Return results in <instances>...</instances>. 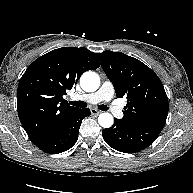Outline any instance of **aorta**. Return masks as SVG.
I'll return each instance as SVG.
<instances>
[{"label": "aorta", "instance_id": "762f6f07", "mask_svg": "<svg viewBox=\"0 0 193 193\" xmlns=\"http://www.w3.org/2000/svg\"><path fill=\"white\" fill-rule=\"evenodd\" d=\"M80 86L86 92H94L100 86V77L92 71L85 72L80 78ZM114 119L110 113H101L98 117V123L103 128H110Z\"/></svg>", "mask_w": 193, "mask_h": 193}]
</instances>
